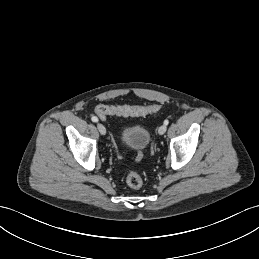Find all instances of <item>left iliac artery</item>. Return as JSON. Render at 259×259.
Listing matches in <instances>:
<instances>
[{"instance_id":"obj_1","label":"left iliac artery","mask_w":259,"mask_h":259,"mask_svg":"<svg viewBox=\"0 0 259 259\" xmlns=\"http://www.w3.org/2000/svg\"><path fill=\"white\" fill-rule=\"evenodd\" d=\"M168 123H169V121L166 119V120L164 121V125H168Z\"/></svg>"}]
</instances>
